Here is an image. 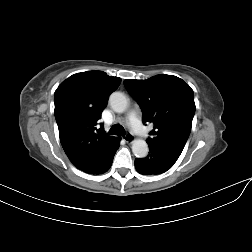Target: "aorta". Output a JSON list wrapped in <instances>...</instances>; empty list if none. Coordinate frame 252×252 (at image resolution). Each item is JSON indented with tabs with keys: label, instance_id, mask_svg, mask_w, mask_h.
I'll return each instance as SVG.
<instances>
[{
	"label": "aorta",
	"instance_id": "aorta-1",
	"mask_svg": "<svg viewBox=\"0 0 252 252\" xmlns=\"http://www.w3.org/2000/svg\"><path fill=\"white\" fill-rule=\"evenodd\" d=\"M109 103L117 113H123L128 106L127 97L121 92H114L110 95ZM148 145L145 140L136 139L132 143V152L138 158H144L148 154Z\"/></svg>",
	"mask_w": 252,
	"mask_h": 252
}]
</instances>
